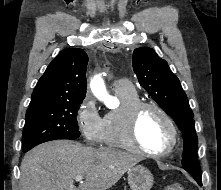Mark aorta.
<instances>
[{
	"mask_svg": "<svg viewBox=\"0 0 221 190\" xmlns=\"http://www.w3.org/2000/svg\"><path fill=\"white\" fill-rule=\"evenodd\" d=\"M90 88L95 97L109 105L110 96L100 76H95L90 83Z\"/></svg>",
	"mask_w": 221,
	"mask_h": 190,
	"instance_id": "1",
	"label": "aorta"
}]
</instances>
